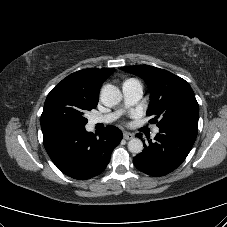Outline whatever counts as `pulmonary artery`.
Masks as SVG:
<instances>
[{"label": "pulmonary artery", "instance_id": "1", "mask_svg": "<svg viewBox=\"0 0 227 227\" xmlns=\"http://www.w3.org/2000/svg\"><path fill=\"white\" fill-rule=\"evenodd\" d=\"M122 92L124 103L126 107L135 105L143 95V85L137 79H128L122 85ZM121 112L110 113L106 115H100L93 117L90 121L91 125H96L99 123H110L118 118ZM159 132L156 127L153 130V135L155 136Z\"/></svg>", "mask_w": 227, "mask_h": 227}]
</instances>
